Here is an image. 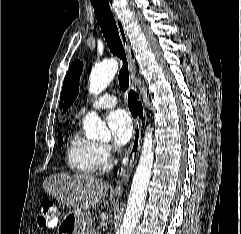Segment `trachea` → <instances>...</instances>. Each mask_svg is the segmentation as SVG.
I'll return each instance as SVG.
<instances>
[{
	"label": "trachea",
	"instance_id": "obj_1",
	"mask_svg": "<svg viewBox=\"0 0 241 234\" xmlns=\"http://www.w3.org/2000/svg\"><path fill=\"white\" fill-rule=\"evenodd\" d=\"M96 19L101 27L107 45L114 56L122 60V68L119 71V85L123 91L129 86V73L126 54L119 36L116 21L111 12L107 0H91Z\"/></svg>",
	"mask_w": 241,
	"mask_h": 234
}]
</instances>
